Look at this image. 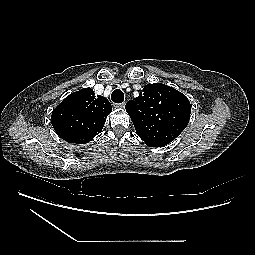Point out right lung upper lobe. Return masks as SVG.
<instances>
[{"instance_id": "right-lung-upper-lobe-1", "label": "right lung upper lobe", "mask_w": 255, "mask_h": 255, "mask_svg": "<svg viewBox=\"0 0 255 255\" xmlns=\"http://www.w3.org/2000/svg\"><path fill=\"white\" fill-rule=\"evenodd\" d=\"M110 102L84 88L67 96L53 111L56 133L69 143L85 144L98 135L111 113Z\"/></svg>"}]
</instances>
